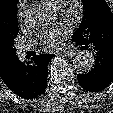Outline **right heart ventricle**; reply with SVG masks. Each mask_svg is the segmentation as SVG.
<instances>
[{"instance_id": "e07e8e85", "label": "right heart ventricle", "mask_w": 113, "mask_h": 113, "mask_svg": "<svg viewBox=\"0 0 113 113\" xmlns=\"http://www.w3.org/2000/svg\"><path fill=\"white\" fill-rule=\"evenodd\" d=\"M45 5L56 8L60 2V0H41Z\"/></svg>"}]
</instances>
